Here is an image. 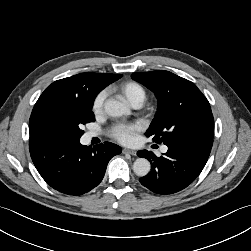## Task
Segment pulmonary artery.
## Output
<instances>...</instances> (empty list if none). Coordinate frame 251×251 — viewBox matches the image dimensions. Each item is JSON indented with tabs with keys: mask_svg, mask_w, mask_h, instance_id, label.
<instances>
[{
	"mask_svg": "<svg viewBox=\"0 0 251 251\" xmlns=\"http://www.w3.org/2000/svg\"><path fill=\"white\" fill-rule=\"evenodd\" d=\"M139 106H140V104H135V105H134V107H136V108L139 107ZM94 136H96V134L93 133V132H89V133L86 134V138H87V139H91V138L94 137ZM167 149H168V148H167L166 146H163V147L161 148V151H162V152H166Z\"/></svg>",
	"mask_w": 251,
	"mask_h": 251,
	"instance_id": "e3ab8cb5",
	"label": "pulmonary artery"
}]
</instances>
